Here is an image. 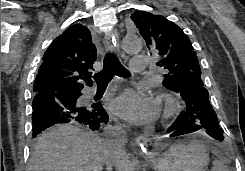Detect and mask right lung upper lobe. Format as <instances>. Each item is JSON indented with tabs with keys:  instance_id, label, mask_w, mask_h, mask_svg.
<instances>
[{
	"instance_id": "cb5924a9",
	"label": "right lung upper lobe",
	"mask_w": 245,
	"mask_h": 171,
	"mask_svg": "<svg viewBox=\"0 0 245 171\" xmlns=\"http://www.w3.org/2000/svg\"><path fill=\"white\" fill-rule=\"evenodd\" d=\"M97 50L86 26L75 24L67 28L43 55L33 91L55 93L61 90L83 89L92 85L91 69Z\"/></svg>"
}]
</instances>
